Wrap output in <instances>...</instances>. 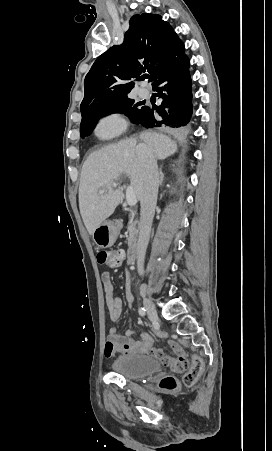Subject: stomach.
<instances>
[{"label": "stomach", "mask_w": 272, "mask_h": 451, "mask_svg": "<svg viewBox=\"0 0 272 451\" xmlns=\"http://www.w3.org/2000/svg\"><path fill=\"white\" fill-rule=\"evenodd\" d=\"M118 229L112 222H102L92 233L93 241L98 247H111L116 241Z\"/></svg>", "instance_id": "stomach-1"}]
</instances>
